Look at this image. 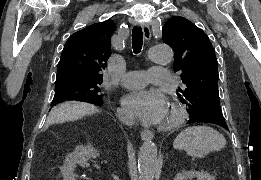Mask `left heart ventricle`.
I'll return each instance as SVG.
<instances>
[{
    "label": "left heart ventricle",
    "instance_id": "1",
    "mask_svg": "<svg viewBox=\"0 0 261 180\" xmlns=\"http://www.w3.org/2000/svg\"><path fill=\"white\" fill-rule=\"evenodd\" d=\"M167 108H168V103L166 104V107H165L164 111L162 112L159 119H162L165 116V112H166Z\"/></svg>",
    "mask_w": 261,
    "mask_h": 180
}]
</instances>
